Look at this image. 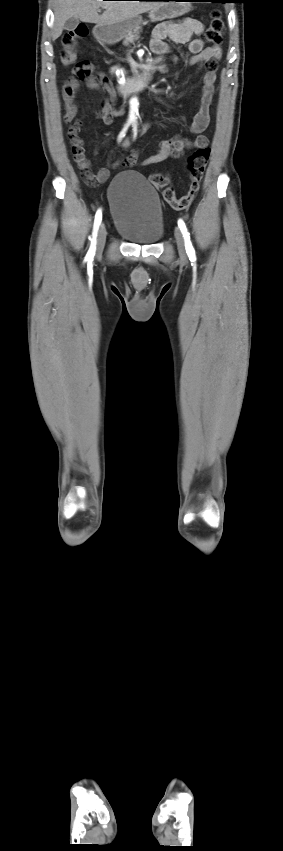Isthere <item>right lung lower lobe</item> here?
Listing matches in <instances>:
<instances>
[{"mask_svg":"<svg viewBox=\"0 0 283 851\" xmlns=\"http://www.w3.org/2000/svg\"><path fill=\"white\" fill-rule=\"evenodd\" d=\"M140 1H143V0H140ZM145 1H156V0H145Z\"/></svg>","mask_w":283,"mask_h":851,"instance_id":"1","label":"right lung lower lobe"}]
</instances>
